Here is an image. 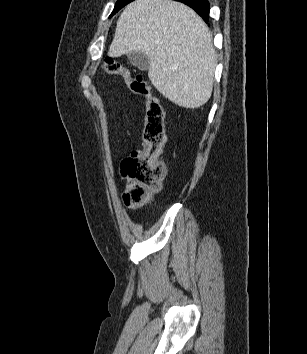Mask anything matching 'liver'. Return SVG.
Masks as SVG:
<instances>
[{
    "mask_svg": "<svg viewBox=\"0 0 307 354\" xmlns=\"http://www.w3.org/2000/svg\"><path fill=\"white\" fill-rule=\"evenodd\" d=\"M145 53L148 77L168 100L198 108L211 97L217 57L212 35L197 13L172 0H135L120 15L110 57Z\"/></svg>",
    "mask_w": 307,
    "mask_h": 354,
    "instance_id": "6515ba94",
    "label": "liver"
}]
</instances>
